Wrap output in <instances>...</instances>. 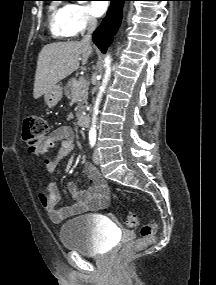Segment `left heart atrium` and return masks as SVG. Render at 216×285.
Listing matches in <instances>:
<instances>
[{
  "mask_svg": "<svg viewBox=\"0 0 216 285\" xmlns=\"http://www.w3.org/2000/svg\"><path fill=\"white\" fill-rule=\"evenodd\" d=\"M108 8V2L107 1H94L92 3V13L95 16H101L103 15Z\"/></svg>",
  "mask_w": 216,
  "mask_h": 285,
  "instance_id": "1",
  "label": "left heart atrium"
}]
</instances>
